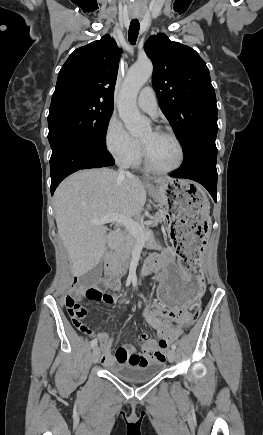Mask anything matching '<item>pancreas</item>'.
<instances>
[{
	"label": "pancreas",
	"instance_id": "cf45deb5",
	"mask_svg": "<svg viewBox=\"0 0 263 435\" xmlns=\"http://www.w3.org/2000/svg\"><path fill=\"white\" fill-rule=\"evenodd\" d=\"M150 233V237L146 240V246L150 249L158 248V245L153 236V232L149 229L145 230ZM138 239L129 231L124 239V242L117 249L112 260V268L118 272H125L131 259V253L137 244Z\"/></svg>",
	"mask_w": 263,
	"mask_h": 435
}]
</instances>
